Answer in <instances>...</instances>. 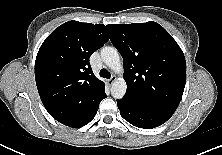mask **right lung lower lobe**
I'll return each instance as SVG.
<instances>
[{
    "label": "right lung lower lobe",
    "instance_id": "obj_1",
    "mask_svg": "<svg viewBox=\"0 0 222 155\" xmlns=\"http://www.w3.org/2000/svg\"><path fill=\"white\" fill-rule=\"evenodd\" d=\"M106 97L107 95L104 94L102 97H100V99L97 101V103L93 107H90L89 109L85 110L84 112H82L81 114H78L75 117L64 118L60 120L59 122L73 128H80L88 124L95 117L97 110L99 108L100 101Z\"/></svg>",
    "mask_w": 222,
    "mask_h": 155
}]
</instances>
